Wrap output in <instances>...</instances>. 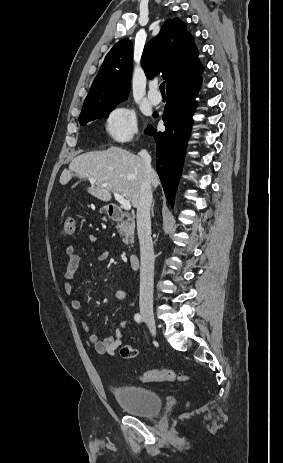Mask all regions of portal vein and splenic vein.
<instances>
[{
  "mask_svg": "<svg viewBox=\"0 0 283 463\" xmlns=\"http://www.w3.org/2000/svg\"><path fill=\"white\" fill-rule=\"evenodd\" d=\"M95 182H97V179H95V178L90 179L91 184H94ZM114 197L121 204V206H122V208L124 210H130L131 209L130 201L125 199L121 194H119L117 192H114Z\"/></svg>",
  "mask_w": 283,
  "mask_h": 463,
  "instance_id": "18ae733b",
  "label": "portal vein and splenic vein"
}]
</instances>
